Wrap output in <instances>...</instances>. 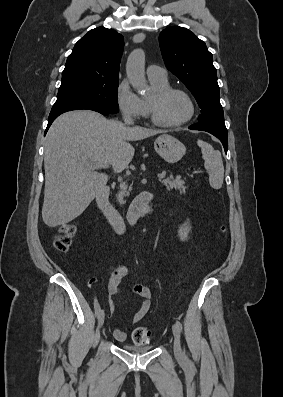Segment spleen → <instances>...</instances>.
Segmentation results:
<instances>
[{
	"mask_svg": "<svg viewBox=\"0 0 283 397\" xmlns=\"http://www.w3.org/2000/svg\"><path fill=\"white\" fill-rule=\"evenodd\" d=\"M197 145L201 148L204 167L208 171L211 187L220 189L224 179V166L221 153L205 141L198 140Z\"/></svg>",
	"mask_w": 283,
	"mask_h": 397,
	"instance_id": "3e777b00",
	"label": "spleen"
}]
</instances>
